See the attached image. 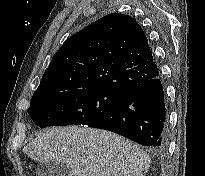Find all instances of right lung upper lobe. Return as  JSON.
<instances>
[{
	"label": "right lung upper lobe",
	"mask_w": 205,
	"mask_h": 176,
	"mask_svg": "<svg viewBox=\"0 0 205 176\" xmlns=\"http://www.w3.org/2000/svg\"><path fill=\"white\" fill-rule=\"evenodd\" d=\"M158 75L141 26L130 16L113 13L66 40L33 96L89 88L124 93Z\"/></svg>",
	"instance_id": "1"
}]
</instances>
